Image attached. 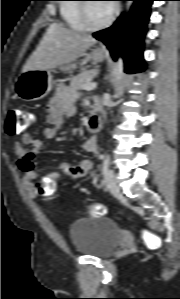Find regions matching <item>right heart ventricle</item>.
Wrapping results in <instances>:
<instances>
[{
	"label": "right heart ventricle",
	"mask_w": 180,
	"mask_h": 299,
	"mask_svg": "<svg viewBox=\"0 0 180 299\" xmlns=\"http://www.w3.org/2000/svg\"><path fill=\"white\" fill-rule=\"evenodd\" d=\"M60 7L61 16L64 22L72 29L85 30L80 19V4L75 3L79 0H64Z\"/></svg>",
	"instance_id": "right-heart-ventricle-1"
}]
</instances>
